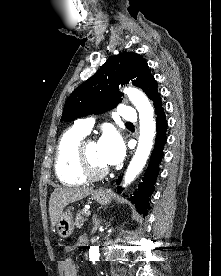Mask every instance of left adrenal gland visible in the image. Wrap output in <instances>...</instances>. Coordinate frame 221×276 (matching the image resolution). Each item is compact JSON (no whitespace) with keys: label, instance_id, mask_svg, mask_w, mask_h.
<instances>
[{"label":"left adrenal gland","instance_id":"1","mask_svg":"<svg viewBox=\"0 0 221 276\" xmlns=\"http://www.w3.org/2000/svg\"><path fill=\"white\" fill-rule=\"evenodd\" d=\"M93 224H94V227H93L92 232H95L97 230V228L99 227V224H100V220L97 219V215H95L93 217Z\"/></svg>","mask_w":221,"mask_h":276}]
</instances>
